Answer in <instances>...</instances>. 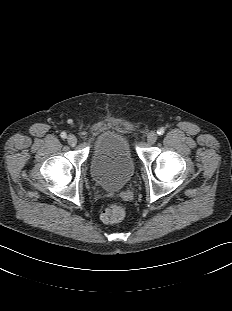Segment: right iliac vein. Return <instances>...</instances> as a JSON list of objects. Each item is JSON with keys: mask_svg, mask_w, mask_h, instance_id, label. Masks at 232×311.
Here are the masks:
<instances>
[{"mask_svg": "<svg viewBox=\"0 0 232 311\" xmlns=\"http://www.w3.org/2000/svg\"><path fill=\"white\" fill-rule=\"evenodd\" d=\"M67 142L70 146H75L77 143V138L74 135H69L67 137Z\"/></svg>", "mask_w": 232, "mask_h": 311, "instance_id": "obj_1", "label": "right iliac vein"}]
</instances>
